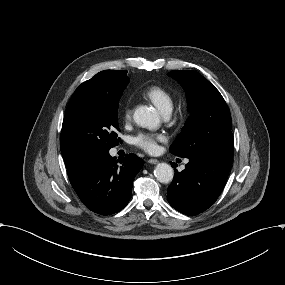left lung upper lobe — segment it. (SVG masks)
Segmentation results:
<instances>
[{"mask_svg": "<svg viewBox=\"0 0 285 285\" xmlns=\"http://www.w3.org/2000/svg\"><path fill=\"white\" fill-rule=\"evenodd\" d=\"M168 75L184 88L190 112L170 152L185 158L218 155L232 159L231 115L220 92L196 71L173 70Z\"/></svg>", "mask_w": 285, "mask_h": 285, "instance_id": "obj_1", "label": "left lung upper lobe"}]
</instances>
